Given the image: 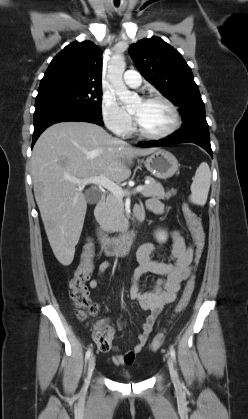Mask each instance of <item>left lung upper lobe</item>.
Listing matches in <instances>:
<instances>
[{
	"label": "left lung upper lobe",
	"mask_w": 248,
	"mask_h": 419,
	"mask_svg": "<svg viewBox=\"0 0 248 419\" xmlns=\"http://www.w3.org/2000/svg\"><path fill=\"white\" fill-rule=\"evenodd\" d=\"M129 54L145 79L180 108L183 125L206 117L191 68L176 49L154 36L131 45Z\"/></svg>",
	"instance_id": "1"
}]
</instances>
